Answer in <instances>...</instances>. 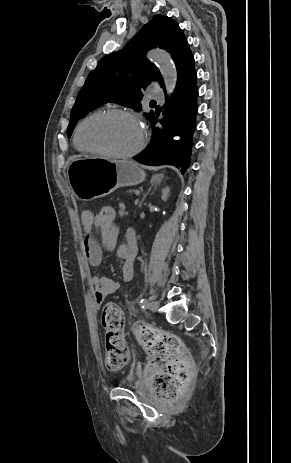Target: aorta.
<instances>
[{
    "label": "aorta",
    "instance_id": "762f6f07",
    "mask_svg": "<svg viewBox=\"0 0 291 463\" xmlns=\"http://www.w3.org/2000/svg\"><path fill=\"white\" fill-rule=\"evenodd\" d=\"M148 56L158 65L166 90L172 92L177 83V71L170 56L161 51H151Z\"/></svg>",
    "mask_w": 291,
    "mask_h": 463
}]
</instances>
